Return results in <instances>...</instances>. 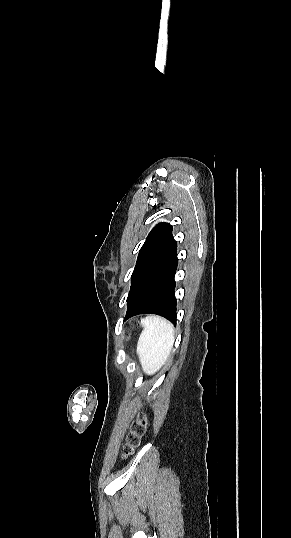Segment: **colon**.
Here are the masks:
<instances>
[{"instance_id":"1","label":"colon","mask_w":291,"mask_h":538,"mask_svg":"<svg viewBox=\"0 0 291 538\" xmlns=\"http://www.w3.org/2000/svg\"><path fill=\"white\" fill-rule=\"evenodd\" d=\"M147 427V418L144 414H139L132 425V428L127 435L126 442L123 447V455L129 456L140 445L141 438L144 435Z\"/></svg>"}]
</instances>
